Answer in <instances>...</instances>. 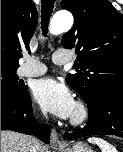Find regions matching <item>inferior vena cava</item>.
<instances>
[{
  "label": "inferior vena cava",
  "instance_id": "1",
  "mask_svg": "<svg viewBox=\"0 0 123 152\" xmlns=\"http://www.w3.org/2000/svg\"><path fill=\"white\" fill-rule=\"evenodd\" d=\"M31 139V138H30ZM28 152H36L35 147L33 145V140L31 139L29 142Z\"/></svg>",
  "mask_w": 123,
  "mask_h": 152
}]
</instances>
